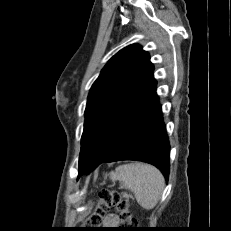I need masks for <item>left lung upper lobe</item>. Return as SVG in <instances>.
<instances>
[{"label":"left lung upper lobe","instance_id":"obj_1","mask_svg":"<svg viewBox=\"0 0 231 231\" xmlns=\"http://www.w3.org/2000/svg\"><path fill=\"white\" fill-rule=\"evenodd\" d=\"M139 45H129L114 55L90 89L81 138L79 167L118 112L147 80L154 67Z\"/></svg>","mask_w":231,"mask_h":231}]
</instances>
